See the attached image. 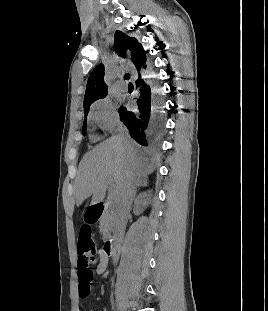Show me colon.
I'll list each match as a JSON object with an SVG mask.
<instances>
[{"instance_id": "obj_1", "label": "colon", "mask_w": 268, "mask_h": 311, "mask_svg": "<svg viewBox=\"0 0 268 311\" xmlns=\"http://www.w3.org/2000/svg\"><path fill=\"white\" fill-rule=\"evenodd\" d=\"M77 253L79 292L82 297H86L90 292V284L93 280V271L90 264L94 261L96 253V246L89 226H83L80 229Z\"/></svg>"}]
</instances>
